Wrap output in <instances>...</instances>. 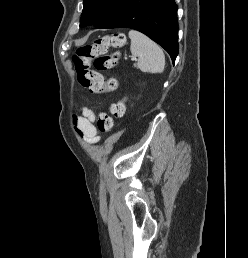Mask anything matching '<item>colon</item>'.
I'll list each match as a JSON object with an SVG mask.
<instances>
[{"label":"colon","instance_id":"obj_1","mask_svg":"<svg viewBox=\"0 0 248 258\" xmlns=\"http://www.w3.org/2000/svg\"><path fill=\"white\" fill-rule=\"evenodd\" d=\"M125 44L123 33L115 32L95 40L92 44L79 47L72 57L76 77L80 85L93 94H107L115 89V82L106 81L98 71L116 67L120 61V53H109L110 47L121 48ZM91 66L97 71L91 69ZM126 111L125 100L114 102L110 112H102L97 119L100 132H110L114 127V118H122Z\"/></svg>","mask_w":248,"mask_h":258}]
</instances>
